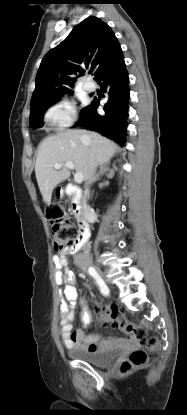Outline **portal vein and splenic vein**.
Instances as JSON below:
<instances>
[{
  "label": "portal vein and splenic vein",
  "mask_w": 187,
  "mask_h": 415,
  "mask_svg": "<svg viewBox=\"0 0 187 415\" xmlns=\"http://www.w3.org/2000/svg\"><path fill=\"white\" fill-rule=\"evenodd\" d=\"M61 166H62L61 164L56 163V164L54 165V168H55V169H60V168H61ZM65 166H66V167H68L69 169H74V168H75L74 163H73V162H71V161L66 162V163H65ZM74 180H75V182H76L77 184L82 183V182H83V174H82L81 172L77 171V172H76V174L74 175Z\"/></svg>",
  "instance_id": "obj_1"
}]
</instances>
